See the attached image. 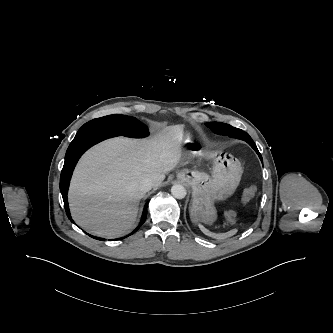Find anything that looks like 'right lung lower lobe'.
<instances>
[{
    "label": "right lung lower lobe",
    "mask_w": 333,
    "mask_h": 333,
    "mask_svg": "<svg viewBox=\"0 0 333 333\" xmlns=\"http://www.w3.org/2000/svg\"><path fill=\"white\" fill-rule=\"evenodd\" d=\"M115 136H118V134L115 132H109V131H104V130H90L87 132L77 133L75 138L69 145L66 155H65V162H64V166H63V169L61 172V177H60V191H61V194L63 197L66 214L72 222H73V220L71 219V216L69 213V208H68V203H67V191H68L69 182H70L74 167H75L77 161L79 160V158L81 157V155L87 149H89L91 146L95 145L96 143H98L104 139H107L110 137H115ZM146 217H147V203L144 207V211H143V215H142L140 224L131 234L136 232L141 227V225L145 222ZM89 236H91V235H89ZM91 237L99 239V240H104L103 238H98V237H94V236H91Z\"/></svg>",
    "instance_id": "right-lung-lower-lobe-1"
}]
</instances>
